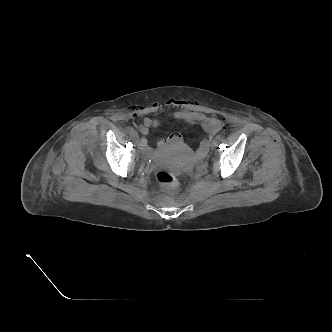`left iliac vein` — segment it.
I'll list each match as a JSON object with an SVG mask.
<instances>
[{"instance_id": "obj_1", "label": "left iliac vein", "mask_w": 332, "mask_h": 332, "mask_svg": "<svg viewBox=\"0 0 332 332\" xmlns=\"http://www.w3.org/2000/svg\"><path fill=\"white\" fill-rule=\"evenodd\" d=\"M217 145H218V142L216 140H214L213 143H212V148L217 147Z\"/></svg>"}]
</instances>
